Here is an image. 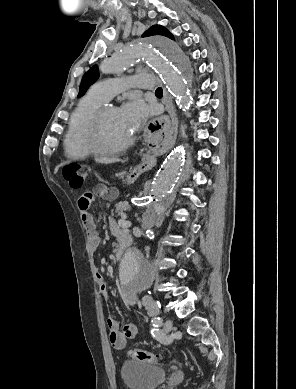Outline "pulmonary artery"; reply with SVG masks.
<instances>
[{
  "label": "pulmonary artery",
  "mask_w": 296,
  "mask_h": 389,
  "mask_svg": "<svg viewBox=\"0 0 296 389\" xmlns=\"http://www.w3.org/2000/svg\"><path fill=\"white\" fill-rule=\"evenodd\" d=\"M153 84L154 81L151 75H133L128 77L99 81L91 87V92L108 101L115 95L129 88L135 87L151 89L153 87Z\"/></svg>",
  "instance_id": "pulmonary-artery-1"
}]
</instances>
